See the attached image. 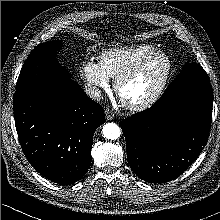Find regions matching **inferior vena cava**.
<instances>
[{
  "label": "inferior vena cava",
  "mask_w": 220,
  "mask_h": 220,
  "mask_svg": "<svg viewBox=\"0 0 220 220\" xmlns=\"http://www.w3.org/2000/svg\"><path fill=\"white\" fill-rule=\"evenodd\" d=\"M84 91L93 100L99 101L103 98L101 90L95 86L88 84L85 86Z\"/></svg>",
  "instance_id": "1"
}]
</instances>
